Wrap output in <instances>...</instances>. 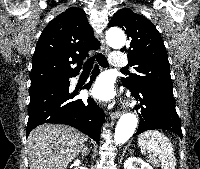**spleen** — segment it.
<instances>
[{
  "mask_svg": "<svg viewBox=\"0 0 200 169\" xmlns=\"http://www.w3.org/2000/svg\"><path fill=\"white\" fill-rule=\"evenodd\" d=\"M141 151L151 153L150 159L159 161L162 169H175L176 159L170 140L157 130H148L138 136Z\"/></svg>",
  "mask_w": 200,
  "mask_h": 169,
  "instance_id": "obj_1",
  "label": "spleen"
}]
</instances>
